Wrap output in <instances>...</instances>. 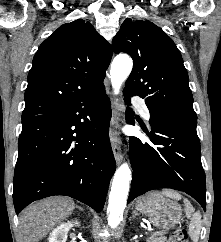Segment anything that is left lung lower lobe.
I'll return each instance as SVG.
<instances>
[{"mask_svg":"<svg viewBox=\"0 0 221 242\" xmlns=\"http://www.w3.org/2000/svg\"><path fill=\"white\" fill-rule=\"evenodd\" d=\"M125 102L133 94L124 90ZM126 118L134 124L128 108ZM152 131H145L153 145L130 137L133 178L128 203L147 191L171 188L184 191L206 210L205 173L201 164L200 142L196 126L166 118L150 117Z\"/></svg>","mask_w":221,"mask_h":242,"instance_id":"obj_1","label":"left lung lower lobe"}]
</instances>
